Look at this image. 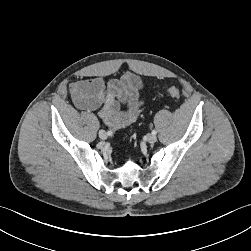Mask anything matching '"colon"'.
<instances>
[{"mask_svg":"<svg viewBox=\"0 0 251 251\" xmlns=\"http://www.w3.org/2000/svg\"><path fill=\"white\" fill-rule=\"evenodd\" d=\"M167 93L174 99H179L181 96L179 89L173 86L167 88Z\"/></svg>","mask_w":251,"mask_h":251,"instance_id":"colon-1","label":"colon"}]
</instances>
